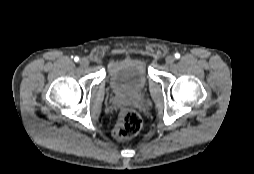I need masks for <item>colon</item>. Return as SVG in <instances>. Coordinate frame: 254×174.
I'll return each mask as SVG.
<instances>
[{
  "label": "colon",
  "instance_id": "colon-1",
  "mask_svg": "<svg viewBox=\"0 0 254 174\" xmlns=\"http://www.w3.org/2000/svg\"><path fill=\"white\" fill-rule=\"evenodd\" d=\"M142 127L141 117L132 109H124L119 116L118 123L113 130L117 140H126L135 136Z\"/></svg>",
  "mask_w": 254,
  "mask_h": 174
}]
</instances>
